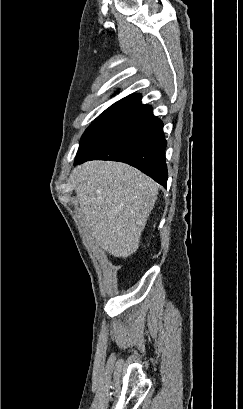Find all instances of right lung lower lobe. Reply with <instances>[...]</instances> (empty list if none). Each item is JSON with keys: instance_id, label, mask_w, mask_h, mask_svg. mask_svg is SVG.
Segmentation results:
<instances>
[{"instance_id": "98d812e1", "label": "right lung lower lobe", "mask_w": 243, "mask_h": 409, "mask_svg": "<svg viewBox=\"0 0 243 409\" xmlns=\"http://www.w3.org/2000/svg\"><path fill=\"white\" fill-rule=\"evenodd\" d=\"M163 123L141 95L123 101L119 108L81 144L75 165L89 160H112L141 170L164 187L167 185Z\"/></svg>"}]
</instances>
